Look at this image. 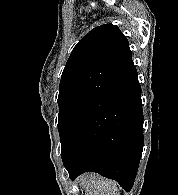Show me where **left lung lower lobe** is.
<instances>
[{
  "label": "left lung lower lobe",
  "mask_w": 178,
  "mask_h": 195,
  "mask_svg": "<svg viewBox=\"0 0 178 195\" xmlns=\"http://www.w3.org/2000/svg\"><path fill=\"white\" fill-rule=\"evenodd\" d=\"M141 87L136 76L109 101L61 152L71 179L93 171L129 191L143 149Z\"/></svg>",
  "instance_id": "0a47b994"
}]
</instances>
